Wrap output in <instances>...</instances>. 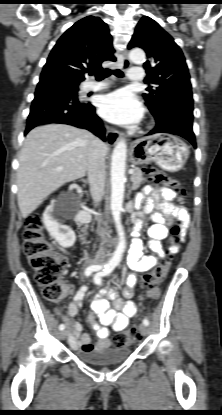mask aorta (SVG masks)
Returning <instances> with one entry per match:
<instances>
[{
	"label": "aorta",
	"mask_w": 222,
	"mask_h": 415,
	"mask_svg": "<svg viewBox=\"0 0 222 415\" xmlns=\"http://www.w3.org/2000/svg\"><path fill=\"white\" fill-rule=\"evenodd\" d=\"M130 60L135 64L145 62V53L142 49H133L129 53ZM127 146L124 140H120L115 146L111 157V201L110 208L119 236V243L110 263L117 265L126 248L125 235L121 223V210L124 199L125 168Z\"/></svg>",
	"instance_id": "obj_1"
}]
</instances>
